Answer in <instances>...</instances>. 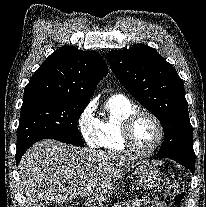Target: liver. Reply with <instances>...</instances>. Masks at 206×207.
<instances>
[{
    "instance_id": "6515ba94",
    "label": "liver",
    "mask_w": 206,
    "mask_h": 207,
    "mask_svg": "<svg viewBox=\"0 0 206 207\" xmlns=\"http://www.w3.org/2000/svg\"><path fill=\"white\" fill-rule=\"evenodd\" d=\"M133 157L69 146L45 139L23 155L18 169L24 207H48L84 197L89 207H102L115 181L135 167Z\"/></svg>"
}]
</instances>
